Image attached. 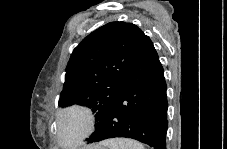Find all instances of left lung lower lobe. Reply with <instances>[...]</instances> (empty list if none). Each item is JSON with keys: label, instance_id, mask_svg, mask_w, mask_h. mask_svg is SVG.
<instances>
[{"label": "left lung lower lobe", "instance_id": "0a47b994", "mask_svg": "<svg viewBox=\"0 0 227 149\" xmlns=\"http://www.w3.org/2000/svg\"><path fill=\"white\" fill-rule=\"evenodd\" d=\"M168 102L163 67L144 34L127 78L88 143L126 137L153 149H166Z\"/></svg>", "mask_w": 227, "mask_h": 149}]
</instances>
